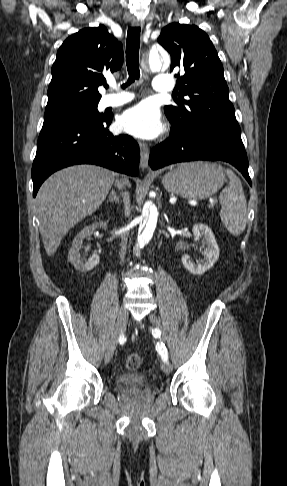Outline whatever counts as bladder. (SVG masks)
<instances>
[{"mask_svg": "<svg viewBox=\"0 0 287 486\" xmlns=\"http://www.w3.org/2000/svg\"><path fill=\"white\" fill-rule=\"evenodd\" d=\"M116 385L121 389H147L152 385V381L143 374L127 373L117 377Z\"/></svg>", "mask_w": 287, "mask_h": 486, "instance_id": "31cf9c89", "label": "bladder"}]
</instances>
